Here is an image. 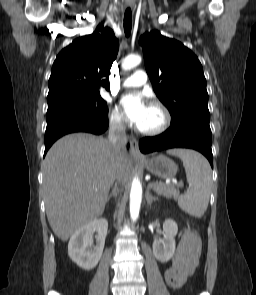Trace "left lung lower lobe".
<instances>
[{
	"label": "left lung lower lobe",
	"mask_w": 256,
	"mask_h": 295,
	"mask_svg": "<svg viewBox=\"0 0 256 295\" xmlns=\"http://www.w3.org/2000/svg\"><path fill=\"white\" fill-rule=\"evenodd\" d=\"M139 148L143 153L170 148H190L201 152L213 167L211 150V129L209 123L188 119L171 125L164 133L140 140Z\"/></svg>",
	"instance_id": "0a47b994"
}]
</instances>
